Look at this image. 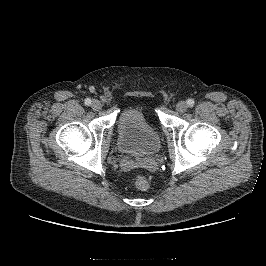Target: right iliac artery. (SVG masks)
I'll return each instance as SVG.
<instances>
[{
    "instance_id": "82829eb1",
    "label": "right iliac artery",
    "mask_w": 266,
    "mask_h": 266,
    "mask_svg": "<svg viewBox=\"0 0 266 266\" xmlns=\"http://www.w3.org/2000/svg\"><path fill=\"white\" fill-rule=\"evenodd\" d=\"M85 104H86V105H90V104H91V99L87 98V99L85 100Z\"/></svg>"
}]
</instances>
